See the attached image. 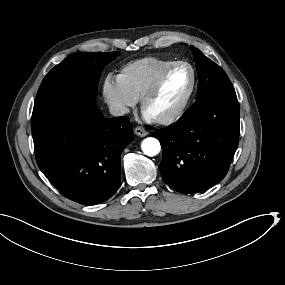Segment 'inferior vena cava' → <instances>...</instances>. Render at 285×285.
<instances>
[{
  "mask_svg": "<svg viewBox=\"0 0 285 285\" xmlns=\"http://www.w3.org/2000/svg\"><path fill=\"white\" fill-rule=\"evenodd\" d=\"M109 111L113 116H123L130 112L129 108L122 104H111Z\"/></svg>",
  "mask_w": 285,
  "mask_h": 285,
  "instance_id": "inferior-vena-cava-1",
  "label": "inferior vena cava"
}]
</instances>
